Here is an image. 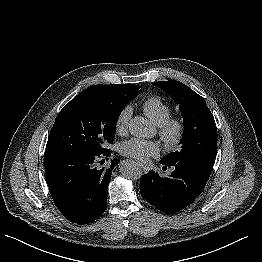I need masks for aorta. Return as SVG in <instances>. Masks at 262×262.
<instances>
[{"instance_id": "aorta-1", "label": "aorta", "mask_w": 262, "mask_h": 262, "mask_svg": "<svg viewBox=\"0 0 262 262\" xmlns=\"http://www.w3.org/2000/svg\"><path fill=\"white\" fill-rule=\"evenodd\" d=\"M129 131L133 136L139 138H149L154 135V127L148 119L136 116L129 123ZM119 170L128 179H139L143 172L140 165L133 160H123L119 165Z\"/></svg>"}]
</instances>
